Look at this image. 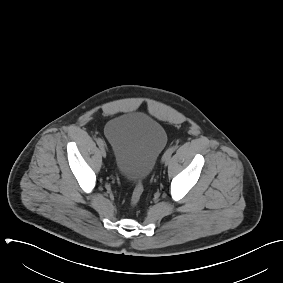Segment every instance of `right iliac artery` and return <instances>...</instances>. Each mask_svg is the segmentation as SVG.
<instances>
[{
	"label": "right iliac artery",
	"instance_id": "obj_1",
	"mask_svg": "<svg viewBox=\"0 0 283 283\" xmlns=\"http://www.w3.org/2000/svg\"><path fill=\"white\" fill-rule=\"evenodd\" d=\"M96 141H97V144L100 148L104 147L105 144H104V141L101 138H97Z\"/></svg>",
	"mask_w": 283,
	"mask_h": 283
}]
</instances>
